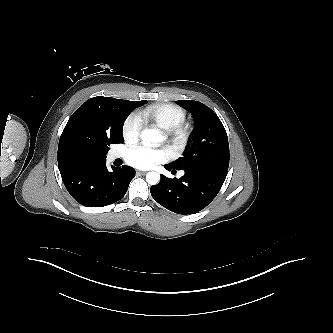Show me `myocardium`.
<instances>
[{
	"label": "myocardium",
	"instance_id": "obj_1",
	"mask_svg": "<svg viewBox=\"0 0 333 333\" xmlns=\"http://www.w3.org/2000/svg\"><path fill=\"white\" fill-rule=\"evenodd\" d=\"M190 132V126L185 122H181L171 128L165 129L163 131V136L168 144L169 150L174 154L182 152L188 143Z\"/></svg>",
	"mask_w": 333,
	"mask_h": 333
}]
</instances>
